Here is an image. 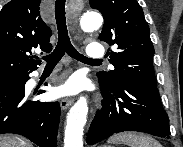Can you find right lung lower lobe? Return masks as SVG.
<instances>
[{"label": "right lung lower lobe", "mask_w": 183, "mask_h": 147, "mask_svg": "<svg viewBox=\"0 0 183 147\" xmlns=\"http://www.w3.org/2000/svg\"><path fill=\"white\" fill-rule=\"evenodd\" d=\"M31 72L0 80V134H19L40 147H56L60 105L25 97L24 86Z\"/></svg>", "instance_id": "right-lung-lower-lobe-1"}]
</instances>
